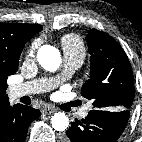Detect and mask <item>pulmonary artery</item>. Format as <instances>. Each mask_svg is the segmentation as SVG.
<instances>
[{
	"instance_id": "1",
	"label": "pulmonary artery",
	"mask_w": 142,
	"mask_h": 142,
	"mask_svg": "<svg viewBox=\"0 0 142 142\" xmlns=\"http://www.w3.org/2000/svg\"><path fill=\"white\" fill-rule=\"evenodd\" d=\"M82 62L83 59L81 57L65 55L63 70L60 75L14 85L9 90L10 97L12 99H17L25 95L42 93L51 90L58 86L61 82L70 78L75 73V71L80 68ZM87 112V109L84 108L79 112V116L84 118L86 117Z\"/></svg>"
}]
</instances>
